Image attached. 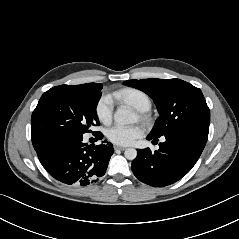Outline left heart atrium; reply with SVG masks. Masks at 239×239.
<instances>
[{
  "label": "left heart atrium",
  "instance_id": "1",
  "mask_svg": "<svg viewBox=\"0 0 239 239\" xmlns=\"http://www.w3.org/2000/svg\"><path fill=\"white\" fill-rule=\"evenodd\" d=\"M143 128L139 125L126 126L116 124L107 132L108 139L116 145L127 146L143 135Z\"/></svg>",
  "mask_w": 239,
  "mask_h": 239
}]
</instances>
